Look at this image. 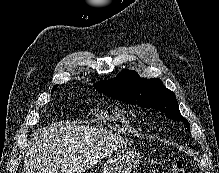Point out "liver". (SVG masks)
<instances>
[{"mask_svg":"<svg viewBox=\"0 0 219 173\" xmlns=\"http://www.w3.org/2000/svg\"><path fill=\"white\" fill-rule=\"evenodd\" d=\"M127 142L104 130L56 123L34 133L22 173H83Z\"/></svg>","mask_w":219,"mask_h":173,"instance_id":"obj_1","label":"liver"}]
</instances>
